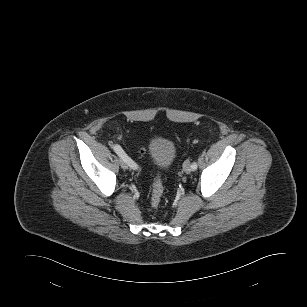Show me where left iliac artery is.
<instances>
[{
    "mask_svg": "<svg viewBox=\"0 0 307 307\" xmlns=\"http://www.w3.org/2000/svg\"><path fill=\"white\" fill-rule=\"evenodd\" d=\"M197 167H198V165H197L196 162H193V163L191 164V169H192L193 171H195V170L197 169Z\"/></svg>",
    "mask_w": 307,
    "mask_h": 307,
    "instance_id": "left-iliac-artery-1",
    "label": "left iliac artery"
}]
</instances>
